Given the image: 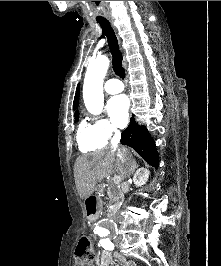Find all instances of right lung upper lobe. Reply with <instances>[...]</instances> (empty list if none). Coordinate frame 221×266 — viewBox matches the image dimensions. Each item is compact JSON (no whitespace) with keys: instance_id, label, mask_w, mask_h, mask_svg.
I'll use <instances>...</instances> for the list:
<instances>
[{"instance_id":"1","label":"right lung upper lobe","mask_w":221,"mask_h":266,"mask_svg":"<svg viewBox=\"0 0 221 266\" xmlns=\"http://www.w3.org/2000/svg\"><path fill=\"white\" fill-rule=\"evenodd\" d=\"M79 95H80V84H78L77 89H76V94L74 97V102H73V107L74 109H77L79 105ZM79 114L78 111L75 112V115Z\"/></svg>"}]
</instances>
